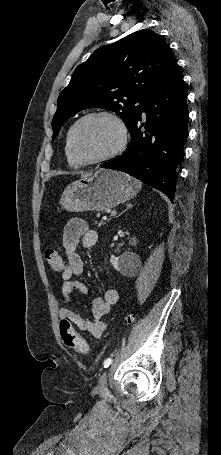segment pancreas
<instances>
[{
	"label": "pancreas",
	"mask_w": 221,
	"mask_h": 455,
	"mask_svg": "<svg viewBox=\"0 0 221 455\" xmlns=\"http://www.w3.org/2000/svg\"><path fill=\"white\" fill-rule=\"evenodd\" d=\"M95 223H96L99 227L106 224V222L103 221V220H100V221H96V220H95Z\"/></svg>",
	"instance_id": "pancreas-1"
}]
</instances>
